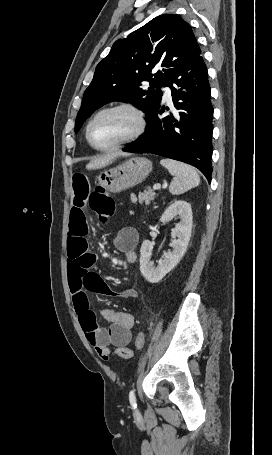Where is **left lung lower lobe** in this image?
<instances>
[{"label":"left lung lower lobe","instance_id":"obj_1","mask_svg":"<svg viewBox=\"0 0 272 455\" xmlns=\"http://www.w3.org/2000/svg\"><path fill=\"white\" fill-rule=\"evenodd\" d=\"M166 86L172 90L176 113L164 117L165 107L159 104L147 119L145 133L123 151L153 153L188 163L210 182L213 107L202 56L176 71Z\"/></svg>","mask_w":272,"mask_h":455}]
</instances>
